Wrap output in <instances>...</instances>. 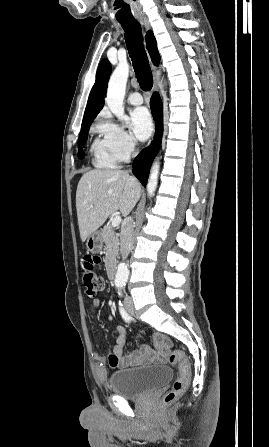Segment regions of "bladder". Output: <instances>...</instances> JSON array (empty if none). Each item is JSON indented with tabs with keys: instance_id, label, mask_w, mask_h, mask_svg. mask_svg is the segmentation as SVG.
Returning a JSON list of instances; mask_svg holds the SVG:
<instances>
[{
	"instance_id": "obj_1",
	"label": "bladder",
	"mask_w": 269,
	"mask_h": 447,
	"mask_svg": "<svg viewBox=\"0 0 269 447\" xmlns=\"http://www.w3.org/2000/svg\"><path fill=\"white\" fill-rule=\"evenodd\" d=\"M172 380L168 366H147L113 372L109 378L112 393L122 398H139Z\"/></svg>"
}]
</instances>
